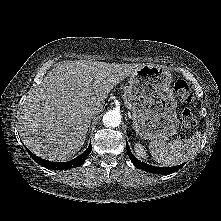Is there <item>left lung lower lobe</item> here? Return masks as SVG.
<instances>
[{
  "label": "left lung lower lobe",
  "mask_w": 221,
  "mask_h": 221,
  "mask_svg": "<svg viewBox=\"0 0 221 221\" xmlns=\"http://www.w3.org/2000/svg\"><path fill=\"white\" fill-rule=\"evenodd\" d=\"M126 149L128 152V155L132 161V163L137 167L140 168L144 171L147 172H152V173H156V174H162V175H167V174H171L174 173L176 171H178L184 164L178 165V166H174V167H155V166H151L148 165L144 162L139 161L130 151L128 144H126Z\"/></svg>",
  "instance_id": "1"
}]
</instances>
